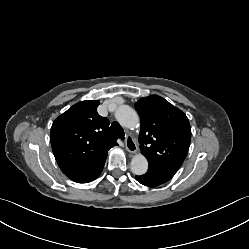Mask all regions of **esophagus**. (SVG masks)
Masks as SVG:
<instances>
[{"instance_id":"1","label":"esophagus","mask_w":249,"mask_h":249,"mask_svg":"<svg viewBox=\"0 0 249 249\" xmlns=\"http://www.w3.org/2000/svg\"><path fill=\"white\" fill-rule=\"evenodd\" d=\"M125 147H126V149H127L128 152H130V153H136V151H137V145H136L134 139L132 138V136H130V135L126 136Z\"/></svg>"}]
</instances>
